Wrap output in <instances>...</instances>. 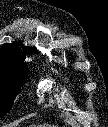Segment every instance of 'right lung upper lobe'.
<instances>
[{
    "label": "right lung upper lobe",
    "mask_w": 108,
    "mask_h": 127,
    "mask_svg": "<svg viewBox=\"0 0 108 127\" xmlns=\"http://www.w3.org/2000/svg\"><path fill=\"white\" fill-rule=\"evenodd\" d=\"M30 52L37 53V50L25 47L18 42L6 43L0 49V64L17 63L27 66L25 58Z\"/></svg>",
    "instance_id": "cb5924a9"
}]
</instances>
